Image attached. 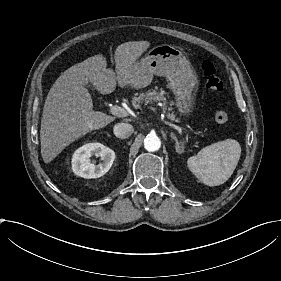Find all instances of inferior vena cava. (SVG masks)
<instances>
[{
	"mask_svg": "<svg viewBox=\"0 0 281 281\" xmlns=\"http://www.w3.org/2000/svg\"><path fill=\"white\" fill-rule=\"evenodd\" d=\"M133 131V126L128 123H118L113 128L114 135L122 139L129 137Z\"/></svg>",
	"mask_w": 281,
	"mask_h": 281,
	"instance_id": "inferior-vena-cava-1",
	"label": "inferior vena cava"
}]
</instances>
